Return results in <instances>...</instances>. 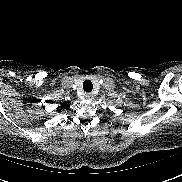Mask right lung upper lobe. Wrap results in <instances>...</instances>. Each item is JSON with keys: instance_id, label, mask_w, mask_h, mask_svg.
Masks as SVG:
<instances>
[{"instance_id": "right-lung-upper-lobe-1", "label": "right lung upper lobe", "mask_w": 182, "mask_h": 182, "mask_svg": "<svg viewBox=\"0 0 182 182\" xmlns=\"http://www.w3.org/2000/svg\"><path fill=\"white\" fill-rule=\"evenodd\" d=\"M68 106L67 102H63L61 107H58V111H61V109H65Z\"/></svg>"}]
</instances>
